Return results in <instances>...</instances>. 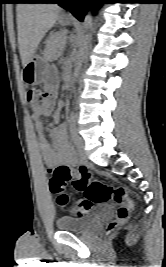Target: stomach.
<instances>
[{
    "label": "stomach",
    "mask_w": 166,
    "mask_h": 267,
    "mask_svg": "<svg viewBox=\"0 0 166 267\" xmlns=\"http://www.w3.org/2000/svg\"><path fill=\"white\" fill-rule=\"evenodd\" d=\"M70 20L64 17L59 18L61 25L70 24ZM48 64L40 55L33 54L31 59L23 67L22 79L27 85H38L46 82Z\"/></svg>",
    "instance_id": "obj_1"
}]
</instances>
